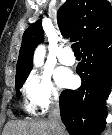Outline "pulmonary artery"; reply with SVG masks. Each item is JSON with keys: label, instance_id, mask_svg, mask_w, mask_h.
<instances>
[{"label": "pulmonary artery", "instance_id": "obj_1", "mask_svg": "<svg viewBox=\"0 0 112 135\" xmlns=\"http://www.w3.org/2000/svg\"><path fill=\"white\" fill-rule=\"evenodd\" d=\"M58 60L61 64L71 66L75 63V56L69 46L63 47L58 53Z\"/></svg>", "mask_w": 112, "mask_h": 135}]
</instances>
